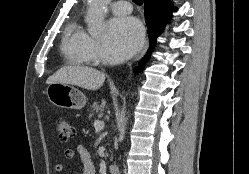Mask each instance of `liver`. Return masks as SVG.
<instances>
[{
  "label": "liver",
  "instance_id": "liver-1",
  "mask_svg": "<svg viewBox=\"0 0 249 174\" xmlns=\"http://www.w3.org/2000/svg\"><path fill=\"white\" fill-rule=\"evenodd\" d=\"M105 81V74L84 66H66L50 76L46 83L75 85L87 90H98Z\"/></svg>",
  "mask_w": 249,
  "mask_h": 174
}]
</instances>
